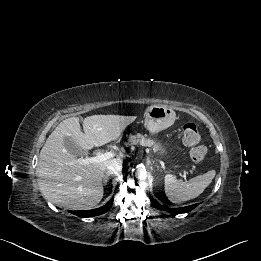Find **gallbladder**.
<instances>
[{"label":"gallbladder","mask_w":261,"mask_h":261,"mask_svg":"<svg viewBox=\"0 0 261 261\" xmlns=\"http://www.w3.org/2000/svg\"><path fill=\"white\" fill-rule=\"evenodd\" d=\"M64 144L66 149L74 155H82L85 153L71 138L64 137Z\"/></svg>","instance_id":"bac80fb5"}]
</instances>
